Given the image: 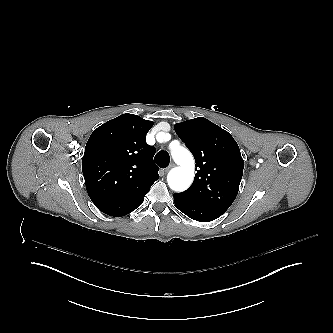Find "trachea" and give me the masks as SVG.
<instances>
[{
	"instance_id": "1",
	"label": "trachea",
	"mask_w": 333,
	"mask_h": 333,
	"mask_svg": "<svg viewBox=\"0 0 333 333\" xmlns=\"http://www.w3.org/2000/svg\"><path fill=\"white\" fill-rule=\"evenodd\" d=\"M154 160L159 167L165 168L169 165L170 157L166 151H159Z\"/></svg>"
}]
</instances>
